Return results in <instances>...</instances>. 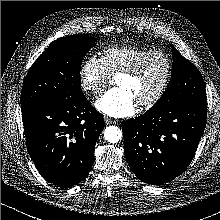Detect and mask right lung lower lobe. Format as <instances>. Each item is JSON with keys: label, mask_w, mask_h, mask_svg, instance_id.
Segmentation results:
<instances>
[{"label": "right lung lower lobe", "mask_w": 220, "mask_h": 220, "mask_svg": "<svg viewBox=\"0 0 220 220\" xmlns=\"http://www.w3.org/2000/svg\"><path fill=\"white\" fill-rule=\"evenodd\" d=\"M21 112L27 149L39 173L63 188L83 181L104 129L103 116L86 97L69 103L25 105Z\"/></svg>", "instance_id": "1"}]
</instances>
